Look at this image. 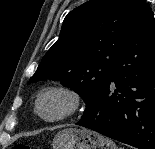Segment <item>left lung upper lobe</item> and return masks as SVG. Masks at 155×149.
Instances as JSON below:
<instances>
[{
	"mask_svg": "<svg viewBox=\"0 0 155 149\" xmlns=\"http://www.w3.org/2000/svg\"><path fill=\"white\" fill-rule=\"evenodd\" d=\"M146 0H90L65 17L59 39L28 84L59 80L86 101L103 86L115 59L144 17Z\"/></svg>",
	"mask_w": 155,
	"mask_h": 149,
	"instance_id": "1",
	"label": "left lung upper lobe"
}]
</instances>
